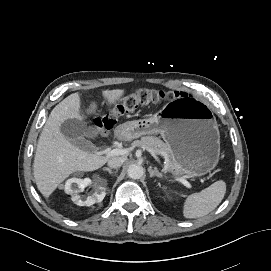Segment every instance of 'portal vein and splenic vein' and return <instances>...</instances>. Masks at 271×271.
<instances>
[{"label": "portal vein and splenic vein", "instance_id": "1", "mask_svg": "<svg viewBox=\"0 0 271 271\" xmlns=\"http://www.w3.org/2000/svg\"><path fill=\"white\" fill-rule=\"evenodd\" d=\"M129 149H120V148H115V149H107L106 155L107 156H119V155H125L129 152ZM153 156H155V153L153 151H150ZM177 181L181 182L188 188H192L191 184L184 178H177Z\"/></svg>", "mask_w": 271, "mask_h": 271}]
</instances>
